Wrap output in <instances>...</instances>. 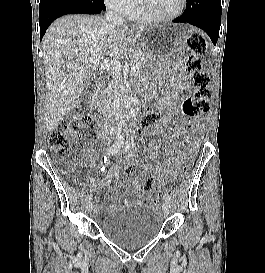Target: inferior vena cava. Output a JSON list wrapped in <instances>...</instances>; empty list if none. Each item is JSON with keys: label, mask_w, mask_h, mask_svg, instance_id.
I'll return each instance as SVG.
<instances>
[{"label": "inferior vena cava", "mask_w": 265, "mask_h": 273, "mask_svg": "<svg viewBox=\"0 0 265 273\" xmlns=\"http://www.w3.org/2000/svg\"><path fill=\"white\" fill-rule=\"evenodd\" d=\"M105 20L112 26L122 24L125 21L123 17H121L117 12L113 10L107 11ZM103 129L106 134H111L113 132V127L109 118L104 119Z\"/></svg>", "instance_id": "602c4592"}]
</instances>
